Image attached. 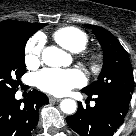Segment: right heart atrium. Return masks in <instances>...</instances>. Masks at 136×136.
Returning <instances> with one entry per match:
<instances>
[{"label": "right heart atrium", "mask_w": 136, "mask_h": 136, "mask_svg": "<svg viewBox=\"0 0 136 136\" xmlns=\"http://www.w3.org/2000/svg\"><path fill=\"white\" fill-rule=\"evenodd\" d=\"M44 46V38L40 34L34 35L25 48V63L28 67H35L39 64L42 49Z\"/></svg>", "instance_id": "d8ad5b80"}]
</instances>
